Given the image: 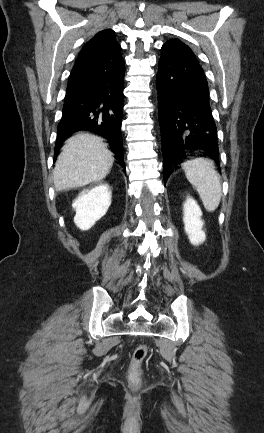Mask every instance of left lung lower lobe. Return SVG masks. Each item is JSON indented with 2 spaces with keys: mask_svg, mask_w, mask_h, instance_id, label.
I'll return each mask as SVG.
<instances>
[{
  "mask_svg": "<svg viewBox=\"0 0 264 433\" xmlns=\"http://www.w3.org/2000/svg\"><path fill=\"white\" fill-rule=\"evenodd\" d=\"M156 80L164 181L192 151L203 150L218 163L217 128L198 61L180 53H162Z\"/></svg>",
  "mask_w": 264,
  "mask_h": 433,
  "instance_id": "obj_1",
  "label": "left lung lower lobe"
}]
</instances>
